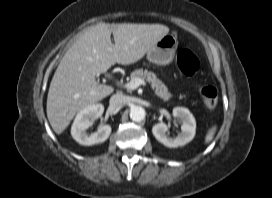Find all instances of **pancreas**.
Here are the masks:
<instances>
[{
    "label": "pancreas",
    "mask_w": 272,
    "mask_h": 198,
    "mask_svg": "<svg viewBox=\"0 0 272 198\" xmlns=\"http://www.w3.org/2000/svg\"><path fill=\"white\" fill-rule=\"evenodd\" d=\"M130 76L131 80L140 78L150 83L151 87L155 90V94L163 99V101H169L170 98H172V94L168 92V88L156 77L155 73L148 70L137 69L133 71Z\"/></svg>",
    "instance_id": "cf45deb5"
}]
</instances>
